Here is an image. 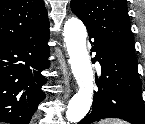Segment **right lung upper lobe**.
Returning <instances> with one entry per match:
<instances>
[{
  "label": "right lung upper lobe",
  "mask_w": 145,
  "mask_h": 124,
  "mask_svg": "<svg viewBox=\"0 0 145 124\" xmlns=\"http://www.w3.org/2000/svg\"><path fill=\"white\" fill-rule=\"evenodd\" d=\"M48 29L43 0H0V44L35 37Z\"/></svg>",
  "instance_id": "cb5924a9"
}]
</instances>
